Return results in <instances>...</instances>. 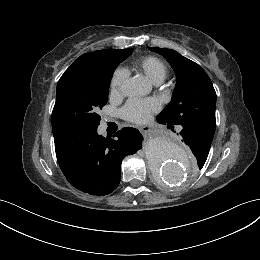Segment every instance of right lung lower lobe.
<instances>
[{"mask_svg": "<svg viewBox=\"0 0 260 260\" xmlns=\"http://www.w3.org/2000/svg\"><path fill=\"white\" fill-rule=\"evenodd\" d=\"M113 137L98 135L97 127L54 137L58 163L67 180L90 195H106L121 180V162L142 147L143 137L125 127Z\"/></svg>", "mask_w": 260, "mask_h": 260, "instance_id": "1", "label": "right lung lower lobe"}]
</instances>
